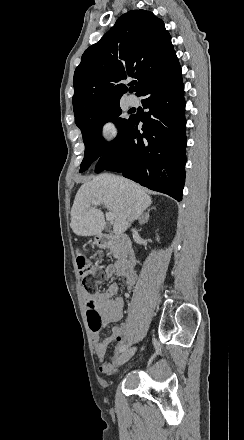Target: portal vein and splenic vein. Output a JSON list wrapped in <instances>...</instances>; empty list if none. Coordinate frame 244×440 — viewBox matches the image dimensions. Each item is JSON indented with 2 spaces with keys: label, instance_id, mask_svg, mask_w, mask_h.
Segmentation results:
<instances>
[{
  "label": "portal vein and splenic vein",
  "instance_id": "obj_1",
  "mask_svg": "<svg viewBox=\"0 0 244 440\" xmlns=\"http://www.w3.org/2000/svg\"><path fill=\"white\" fill-rule=\"evenodd\" d=\"M92 204L93 206H99V204H102V202H92ZM106 220H108L110 224H113L114 216L113 214H111V212H108V214H106Z\"/></svg>",
  "mask_w": 244,
  "mask_h": 440
}]
</instances>
